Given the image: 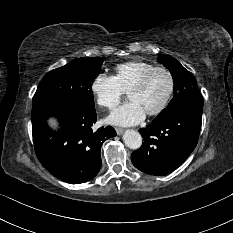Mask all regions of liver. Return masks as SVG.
I'll return each mask as SVG.
<instances>
[{
  "mask_svg": "<svg viewBox=\"0 0 233 233\" xmlns=\"http://www.w3.org/2000/svg\"><path fill=\"white\" fill-rule=\"evenodd\" d=\"M49 123H50L51 126L55 127V121L54 120H51Z\"/></svg>",
  "mask_w": 233,
  "mask_h": 233,
  "instance_id": "obj_1",
  "label": "liver"
}]
</instances>
